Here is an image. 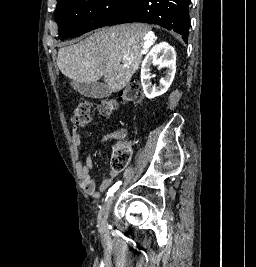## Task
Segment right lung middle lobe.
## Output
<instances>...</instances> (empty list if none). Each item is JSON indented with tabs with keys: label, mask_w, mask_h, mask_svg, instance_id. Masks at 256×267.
Wrapping results in <instances>:
<instances>
[{
	"label": "right lung middle lobe",
	"mask_w": 256,
	"mask_h": 267,
	"mask_svg": "<svg viewBox=\"0 0 256 267\" xmlns=\"http://www.w3.org/2000/svg\"><path fill=\"white\" fill-rule=\"evenodd\" d=\"M138 0H60L55 20L62 38L80 36L120 14L129 13Z\"/></svg>",
	"instance_id": "1"
}]
</instances>
